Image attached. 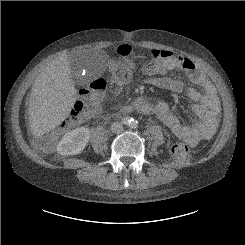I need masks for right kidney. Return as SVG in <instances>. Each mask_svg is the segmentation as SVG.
Masks as SVG:
<instances>
[{"instance_id":"obj_1","label":"right kidney","mask_w":245,"mask_h":245,"mask_svg":"<svg viewBox=\"0 0 245 245\" xmlns=\"http://www.w3.org/2000/svg\"><path fill=\"white\" fill-rule=\"evenodd\" d=\"M90 139V131L86 127H79L66 133L57 145V151L61 155H76L87 145Z\"/></svg>"}]
</instances>
